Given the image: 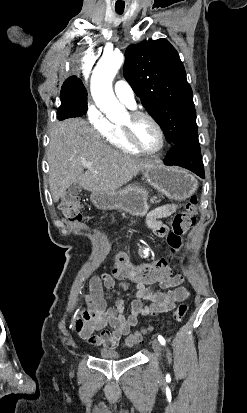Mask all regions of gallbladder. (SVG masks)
I'll list each match as a JSON object with an SVG mask.
<instances>
[{
	"label": "gallbladder",
	"instance_id": "bac80fb5",
	"mask_svg": "<svg viewBox=\"0 0 247 413\" xmlns=\"http://www.w3.org/2000/svg\"><path fill=\"white\" fill-rule=\"evenodd\" d=\"M68 190L70 194H73V196H75V194H79V192H81L82 186L81 184H79V182H73V184H70Z\"/></svg>",
	"mask_w": 247,
	"mask_h": 413
}]
</instances>
